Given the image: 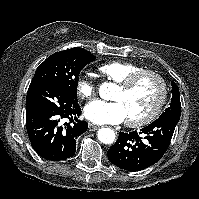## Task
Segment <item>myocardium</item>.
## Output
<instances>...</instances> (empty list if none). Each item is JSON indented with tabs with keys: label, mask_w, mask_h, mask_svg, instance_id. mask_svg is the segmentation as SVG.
Returning a JSON list of instances; mask_svg holds the SVG:
<instances>
[{
	"label": "myocardium",
	"mask_w": 199,
	"mask_h": 199,
	"mask_svg": "<svg viewBox=\"0 0 199 199\" xmlns=\"http://www.w3.org/2000/svg\"><path fill=\"white\" fill-rule=\"evenodd\" d=\"M146 76H151L157 80L160 86V95L153 109L147 115L137 119H127V125L130 127L145 126L156 120L161 114L168 98V85L165 78L160 73L149 69H142L131 74L122 82L118 83V87L123 91H128Z\"/></svg>",
	"instance_id": "myocardium-1"
}]
</instances>
